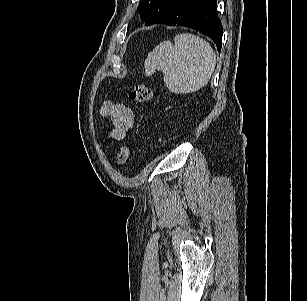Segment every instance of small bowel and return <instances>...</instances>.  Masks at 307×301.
<instances>
[{
    "label": "small bowel",
    "instance_id": "obj_1",
    "mask_svg": "<svg viewBox=\"0 0 307 301\" xmlns=\"http://www.w3.org/2000/svg\"><path fill=\"white\" fill-rule=\"evenodd\" d=\"M100 113L102 116L110 120L114 126L110 134L113 140L122 139L126 132L132 128L134 123V113L123 103L106 101L102 104Z\"/></svg>",
    "mask_w": 307,
    "mask_h": 301
}]
</instances>
